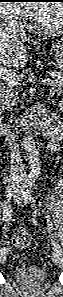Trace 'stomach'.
<instances>
[{
    "label": "stomach",
    "mask_w": 63,
    "mask_h": 297,
    "mask_svg": "<svg viewBox=\"0 0 63 297\" xmlns=\"http://www.w3.org/2000/svg\"><path fill=\"white\" fill-rule=\"evenodd\" d=\"M55 49V60L59 65H62L63 63V47L62 45H57L56 47H54Z\"/></svg>",
    "instance_id": "stomach-1"
}]
</instances>
